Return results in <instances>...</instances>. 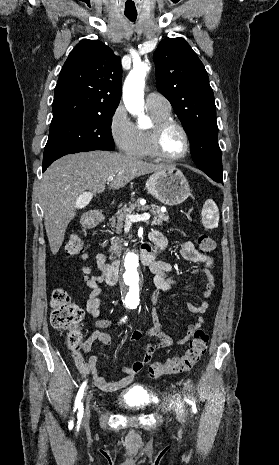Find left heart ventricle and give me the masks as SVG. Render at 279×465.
<instances>
[{"mask_svg":"<svg viewBox=\"0 0 279 465\" xmlns=\"http://www.w3.org/2000/svg\"><path fill=\"white\" fill-rule=\"evenodd\" d=\"M184 140L182 133L175 126L165 129L160 138L161 151L169 156H174L182 152Z\"/></svg>","mask_w":279,"mask_h":465,"instance_id":"1","label":"left heart ventricle"}]
</instances>
